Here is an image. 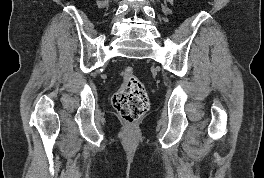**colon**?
Here are the masks:
<instances>
[{"mask_svg": "<svg viewBox=\"0 0 264 178\" xmlns=\"http://www.w3.org/2000/svg\"><path fill=\"white\" fill-rule=\"evenodd\" d=\"M112 105L127 123H135L145 114L149 101L146 89L131 68L122 72V84L112 96Z\"/></svg>", "mask_w": 264, "mask_h": 178, "instance_id": "obj_1", "label": "colon"}]
</instances>
